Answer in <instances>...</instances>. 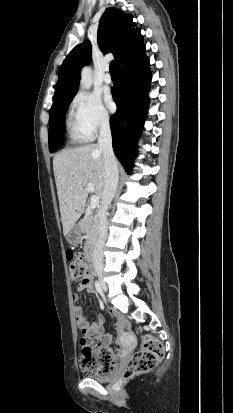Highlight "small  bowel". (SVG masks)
Masks as SVG:
<instances>
[{
	"label": "small bowel",
	"instance_id": "small-bowel-1",
	"mask_svg": "<svg viewBox=\"0 0 233 413\" xmlns=\"http://www.w3.org/2000/svg\"><path fill=\"white\" fill-rule=\"evenodd\" d=\"M83 290L89 293L94 291L92 273H90L87 278L81 280L78 283L77 292H75L72 296L74 302H77L79 300V292ZM74 312L78 328L80 329L83 336L94 340L98 344L99 348L109 349L108 345L112 340V335L105 333L104 331V317L102 315H98L96 321L90 322L84 315L82 307L76 306L74 308ZM110 312L117 318V322L115 324L117 328L128 327L129 323L125 317L121 316L114 310H111ZM119 354L120 352L113 353L114 358L119 356Z\"/></svg>",
	"mask_w": 233,
	"mask_h": 413
}]
</instances>
